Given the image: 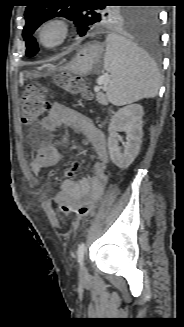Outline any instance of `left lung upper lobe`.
<instances>
[{
	"mask_svg": "<svg viewBox=\"0 0 184 327\" xmlns=\"http://www.w3.org/2000/svg\"><path fill=\"white\" fill-rule=\"evenodd\" d=\"M72 6L48 5V0H33L25 10L26 24L23 29V39L26 43V56H34L38 45L32 34L45 21L61 16L74 21L78 34L84 36L90 30L102 25L127 24L137 25L143 17L144 9L117 8L107 6L108 3H130L133 0H98V4H88L92 1L76 0Z\"/></svg>",
	"mask_w": 184,
	"mask_h": 327,
	"instance_id": "5c2ea615",
	"label": "left lung upper lobe"
}]
</instances>
